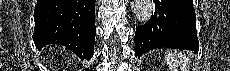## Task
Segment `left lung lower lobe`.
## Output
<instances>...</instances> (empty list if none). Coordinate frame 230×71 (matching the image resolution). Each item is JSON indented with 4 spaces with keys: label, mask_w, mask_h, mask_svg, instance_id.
Listing matches in <instances>:
<instances>
[{
    "label": "left lung lower lobe",
    "mask_w": 230,
    "mask_h": 71,
    "mask_svg": "<svg viewBox=\"0 0 230 71\" xmlns=\"http://www.w3.org/2000/svg\"><path fill=\"white\" fill-rule=\"evenodd\" d=\"M155 12L144 25L136 26L135 56L154 48L199 50L192 0H153Z\"/></svg>",
    "instance_id": "1"
}]
</instances>
